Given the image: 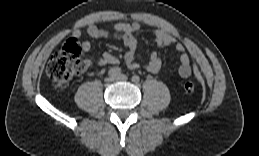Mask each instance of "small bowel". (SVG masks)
<instances>
[{
  "label": "small bowel",
  "instance_id": "small-bowel-1",
  "mask_svg": "<svg viewBox=\"0 0 259 156\" xmlns=\"http://www.w3.org/2000/svg\"><path fill=\"white\" fill-rule=\"evenodd\" d=\"M140 29V24L136 21L130 23H117L109 29L100 28L96 25H90L86 33L89 37L99 39L114 37L121 40L127 47V52L124 55V61L129 69H137L140 64L136 62L135 57L137 52H143V49L135 35ZM84 32L80 29L73 31L72 36L75 40H81ZM156 50L152 51L148 62L145 64V69L151 73H157L162 67L161 50L171 44H175L176 50L180 53V66L178 73L181 77H188L192 73L191 60L185 52V47L182 43L176 42L175 38L164 29L154 31ZM80 46L83 51H89L91 44L89 41L82 40ZM119 58L112 53L105 52L98 60V65L104 66L109 64H117Z\"/></svg>",
  "mask_w": 259,
  "mask_h": 156
}]
</instances>
